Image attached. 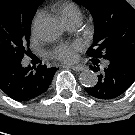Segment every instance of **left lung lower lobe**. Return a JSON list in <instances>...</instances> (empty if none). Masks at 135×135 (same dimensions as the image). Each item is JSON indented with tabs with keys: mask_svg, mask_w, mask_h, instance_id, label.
Wrapping results in <instances>:
<instances>
[{
	"mask_svg": "<svg viewBox=\"0 0 135 135\" xmlns=\"http://www.w3.org/2000/svg\"><path fill=\"white\" fill-rule=\"evenodd\" d=\"M93 60L94 66L90 68L94 72H99L98 82L93 87L85 88V91L103 100L114 99L122 95L135 81V60L123 57L107 58L108 66L100 71L97 63Z\"/></svg>",
	"mask_w": 135,
	"mask_h": 135,
	"instance_id": "left-lung-lower-lobe-1",
	"label": "left lung lower lobe"
}]
</instances>
